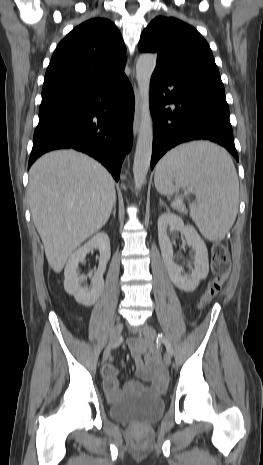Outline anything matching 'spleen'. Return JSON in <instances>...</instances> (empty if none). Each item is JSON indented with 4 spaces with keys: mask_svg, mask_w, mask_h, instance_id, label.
Returning <instances> with one entry per match:
<instances>
[{
    "mask_svg": "<svg viewBox=\"0 0 263 465\" xmlns=\"http://www.w3.org/2000/svg\"><path fill=\"white\" fill-rule=\"evenodd\" d=\"M154 183L162 195L185 186L194 190L197 203L189 205L190 216L208 240H222L236 219L237 173L228 153L215 144L200 141L171 150L157 164Z\"/></svg>",
    "mask_w": 263,
    "mask_h": 465,
    "instance_id": "obj_1",
    "label": "spleen"
}]
</instances>
